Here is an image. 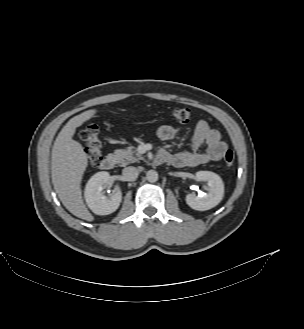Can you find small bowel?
<instances>
[{
    "instance_id": "1",
    "label": "small bowel",
    "mask_w": 304,
    "mask_h": 329,
    "mask_svg": "<svg viewBox=\"0 0 304 329\" xmlns=\"http://www.w3.org/2000/svg\"><path fill=\"white\" fill-rule=\"evenodd\" d=\"M180 129L171 125H162L157 131L161 140H171L176 137ZM207 148L200 151L202 145ZM227 144L221 139L220 133L209 126L205 120H199L194 127L189 140L188 148L179 152L171 153L161 150L164 153V161L171 163L175 167L188 168L202 165L211 161H218L227 150Z\"/></svg>"
}]
</instances>
